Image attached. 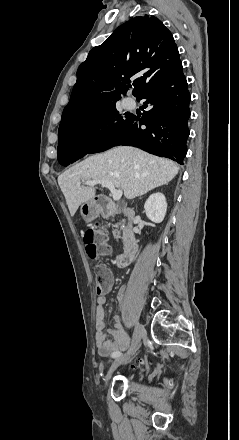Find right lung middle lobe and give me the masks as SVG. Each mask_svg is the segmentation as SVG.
<instances>
[{
  "mask_svg": "<svg viewBox=\"0 0 239 440\" xmlns=\"http://www.w3.org/2000/svg\"><path fill=\"white\" fill-rule=\"evenodd\" d=\"M115 99L106 106L84 115L60 123L58 130V150L62 147L89 145L100 137L119 128L131 116L129 113L119 115ZM126 115V120L122 118Z\"/></svg>",
  "mask_w": 239,
  "mask_h": 440,
  "instance_id": "obj_1",
  "label": "right lung middle lobe"
}]
</instances>
